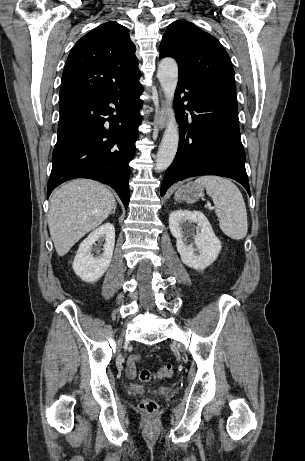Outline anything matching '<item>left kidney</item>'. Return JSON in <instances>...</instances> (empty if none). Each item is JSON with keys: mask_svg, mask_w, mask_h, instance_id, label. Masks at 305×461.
I'll list each match as a JSON object with an SVG mask.
<instances>
[{"mask_svg": "<svg viewBox=\"0 0 305 461\" xmlns=\"http://www.w3.org/2000/svg\"><path fill=\"white\" fill-rule=\"evenodd\" d=\"M169 228L177 240V250L186 266L203 270L217 259L222 245L202 212L176 210L169 216ZM193 229L197 231L193 236L195 247L183 240L184 236L191 235Z\"/></svg>", "mask_w": 305, "mask_h": 461, "instance_id": "1", "label": "left kidney"}]
</instances>
